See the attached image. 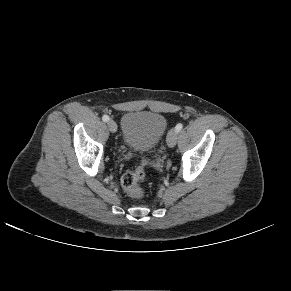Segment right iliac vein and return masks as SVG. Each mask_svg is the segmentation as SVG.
<instances>
[{
	"mask_svg": "<svg viewBox=\"0 0 291 291\" xmlns=\"http://www.w3.org/2000/svg\"><path fill=\"white\" fill-rule=\"evenodd\" d=\"M107 125L112 133H115L117 131V124L113 120L108 121Z\"/></svg>",
	"mask_w": 291,
	"mask_h": 291,
	"instance_id": "1",
	"label": "right iliac vein"
}]
</instances>
